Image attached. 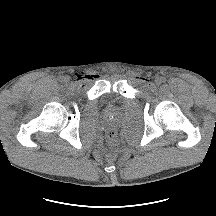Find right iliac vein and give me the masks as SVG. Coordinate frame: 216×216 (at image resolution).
Returning a JSON list of instances; mask_svg holds the SVG:
<instances>
[{
    "label": "right iliac vein",
    "instance_id": "right-iliac-vein-1",
    "mask_svg": "<svg viewBox=\"0 0 216 216\" xmlns=\"http://www.w3.org/2000/svg\"><path fill=\"white\" fill-rule=\"evenodd\" d=\"M63 80H64L65 82H68V81H69V78H68V77H65Z\"/></svg>",
    "mask_w": 216,
    "mask_h": 216
}]
</instances>
